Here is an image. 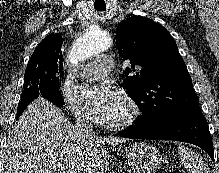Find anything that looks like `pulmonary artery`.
Wrapping results in <instances>:
<instances>
[{"label": "pulmonary artery", "mask_w": 219, "mask_h": 173, "mask_svg": "<svg viewBox=\"0 0 219 173\" xmlns=\"http://www.w3.org/2000/svg\"><path fill=\"white\" fill-rule=\"evenodd\" d=\"M113 66L114 62L111 56L100 55L85 65L83 74L88 79H96L110 72Z\"/></svg>", "instance_id": "obj_1"}]
</instances>
